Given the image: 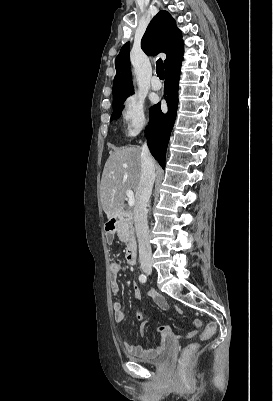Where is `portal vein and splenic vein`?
Wrapping results in <instances>:
<instances>
[{
	"mask_svg": "<svg viewBox=\"0 0 273 401\" xmlns=\"http://www.w3.org/2000/svg\"><path fill=\"white\" fill-rule=\"evenodd\" d=\"M126 194L128 196V205H130V207H133L135 203V196L133 190H126Z\"/></svg>",
	"mask_w": 273,
	"mask_h": 401,
	"instance_id": "1",
	"label": "portal vein and splenic vein"
}]
</instances>
